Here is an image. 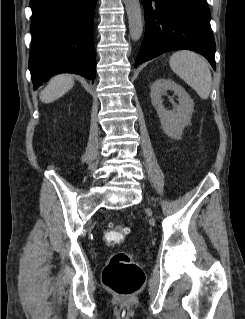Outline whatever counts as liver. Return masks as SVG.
Wrapping results in <instances>:
<instances>
[{
    "label": "liver",
    "instance_id": "1",
    "mask_svg": "<svg viewBox=\"0 0 245 319\" xmlns=\"http://www.w3.org/2000/svg\"><path fill=\"white\" fill-rule=\"evenodd\" d=\"M74 85L70 75L63 74L53 77L40 93L43 103H51L66 94Z\"/></svg>",
    "mask_w": 245,
    "mask_h": 319
}]
</instances>
